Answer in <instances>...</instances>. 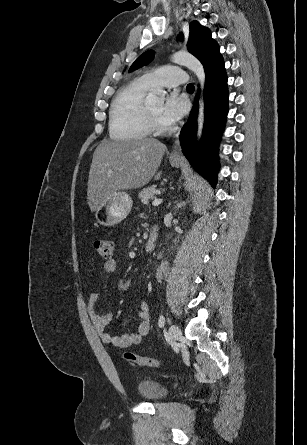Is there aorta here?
Wrapping results in <instances>:
<instances>
[{"label":"aorta","instance_id":"762f6f07","mask_svg":"<svg viewBox=\"0 0 307 445\" xmlns=\"http://www.w3.org/2000/svg\"><path fill=\"white\" fill-rule=\"evenodd\" d=\"M171 60L172 62H175V64H181V66H187V68L193 70V72H195L200 82V88L201 90H203L205 82V70L203 68V64H201L200 60H198L196 56L190 54L188 50H177V52H174V54H172ZM165 94L166 90H164V88H154V90H150V92H148L145 98V102L146 104H164ZM197 122H198L197 136L198 138H200L204 122V100L202 92L199 98V110H198Z\"/></svg>","mask_w":307,"mask_h":445}]
</instances>
